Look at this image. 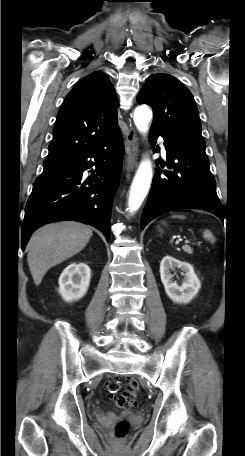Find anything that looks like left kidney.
I'll list each match as a JSON object with an SVG mask.
<instances>
[{"instance_id":"obj_1","label":"left kidney","mask_w":245,"mask_h":456,"mask_svg":"<svg viewBox=\"0 0 245 456\" xmlns=\"http://www.w3.org/2000/svg\"><path fill=\"white\" fill-rule=\"evenodd\" d=\"M179 268L184 272L182 284L173 281L170 270ZM160 276L168 297L176 303H189L201 288V283L193 267L186 262L179 261L169 255L165 256L160 264Z\"/></svg>"}]
</instances>
